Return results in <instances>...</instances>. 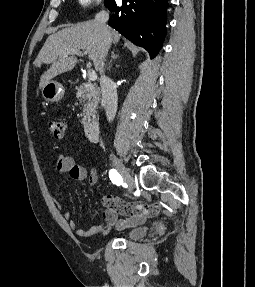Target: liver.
I'll return each mask as SVG.
<instances>
[{
    "mask_svg": "<svg viewBox=\"0 0 255 287\" xmlns=\"http://www.w3.org/2000/svg\"><path fill=\"white\" fill-rule=\"evenodd\" d=\"M68 28L51 34L47 38L42 50H40L34 64L41 68L42 64H52L51 68L44 72L40 78L39 88H44L52 78L74 70L78 60L76 52L86 50L89 60H92L95 70H100L101 62L106 58L105 40L117 44L120 34L107 28L109 34L96 24L94 20L82 22V24H67ZM69 56V58H68ZM59 60V62H57Z\"/></svg>",
    "mask_w": 255,
    "mask_h": 287,
    "instance_id": "obj_1",
    "label": "liver"
}]
</instances>
